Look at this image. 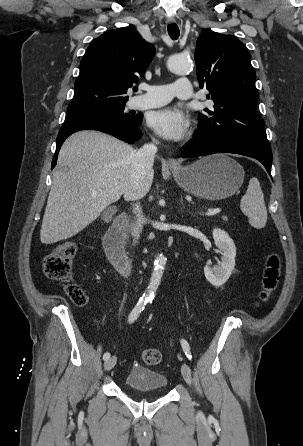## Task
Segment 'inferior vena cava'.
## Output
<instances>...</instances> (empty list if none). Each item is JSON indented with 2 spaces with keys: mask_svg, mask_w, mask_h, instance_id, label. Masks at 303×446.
I'll return each instance as SVG.
<instances>
[{
  "mask_svg": "<svg viewBox=\"0 0 303 446\" xmlns=\"http://www.w3.org/2000/svg\"><path fill=\"white\" fill-rule=\"evenodd\" d=\"M156 152L157 147L154 143H152L144 145L134 153L131 178V193L134 196V200L139 199L142 195L141 185L147 174L152 169ZM133 212L136 215V221L131 224L130 229L134 238L133 243L135 244L139 239L144 223L142 210L139 203L133 205Z\"/></svg>",
  "mask_w": 303,
  "mask_h": 446,
  "instance_id": "obj_1",
  "label": "inferior vena cava"
}]
</instances>
